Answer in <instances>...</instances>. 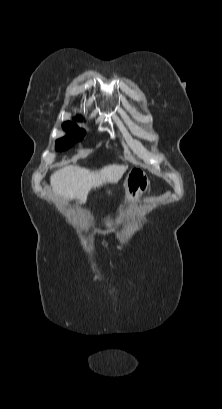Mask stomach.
<instances>
[{
  "mask_svg": "<svg viewBox=\"0 0 222 409\" xmlns=\"http://www.w3.org/2000/svg\"><path fill=\"white\" fill-rule=\"evenodd\" d=\"M123 186L125 188V204L120 207V212H124L127 208L133 206L147 192L150 187V180L147 174L140 168L131 169L125 177ZM106 225L112 229L113 223L106 219Z\"/></svg>",
  "mask_w": 222,
  "mask_h": 409,
  "instance_id": "stomach-1",
  "label": "stomach"
}]
</instances>
